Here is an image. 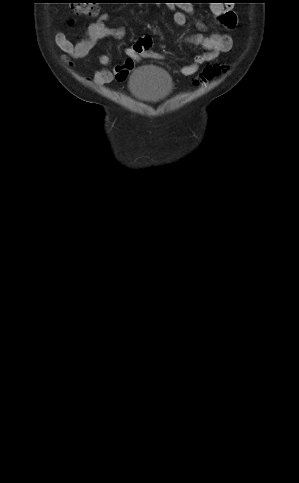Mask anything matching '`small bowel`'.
Instances as JSON below:
<instances>
[{
  "mask_svg": "<svg viewBox=\"0 0 299 483\" xmlns=\"http://www.w3.org/2000/svg\"><path fill=\"white\" fill-rule=\"evenodd\" d=\"M220 2L212 4L211 11L220 24L228 30L234 29L237 24V16L233 11L224 8ZM173 11V20L178 26L186 23V13L191 12L190 6H171ZM109 17L103 14L98 20L91 23L88 27L87 37L78 43H73L63 32L55 34V42L58 47L65 53L64 59L84 58L96 44L104 38L112 37L122 39L126 30L123 26L107 25ZM188 41L192 44L201 45L206 50L205 53L195 56L193 62L179 69V73L184 76L194 75L199 67L216 59L221 53H227L232 49L233 41L228 34L213 33L205 35L202 33H193L188 37ZM152 38L143 36L137 42L125 49L127 59L112 69L102 68L97 70L93 76L87 80L95 85H104L111 83L113 80L124 82L130 72L133 70L135 63L144 58H162L161 55L151 51ZM98 61L101 65L107 66L111 63L108 55H100Z\"/></svg>",
  "mask_w": 299,
  "mask_h": 483,
  "instance_id": "c3829d8e",
  "label": "small bowel"
}]
</instances>
